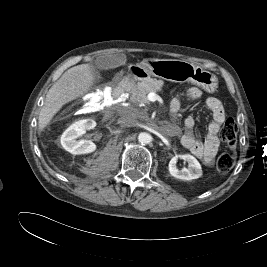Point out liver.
<instances>
[{
	"mask_svg": "<svg viewBox=\"0 0 267 267\" xmlns=\"http://www.w3.org/2000/svg\"><path fill=\"white\" fill-rule=\"evenodd\" d=\"M94 84L90 64H81L68 69L49 89L45 103L40 110L38 127L43 130L66 104L82 97Z\"/></svg>",
	"mask_w": 267,
	"mask_h": 267,
	"instance_id": "liver-1",
	"label": "liver"
}]
</instances>
